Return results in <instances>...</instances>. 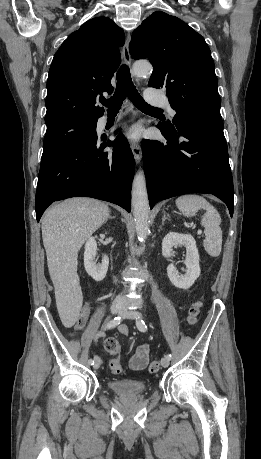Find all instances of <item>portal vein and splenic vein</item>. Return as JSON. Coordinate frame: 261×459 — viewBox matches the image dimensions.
<instances>
[{"mask_svg":"<svg viewBox=\"0 0 261 459\" xmlns=\"http://www.w3.org/2000/svg\"><path fill=\"white\" fill-rule=\"evenodd\" d=\"M197 233H198V234H202V231H201V230H198V232H197Z\"/></svg>","mask_w":261,"mask_h":459,"instance_id":"portal-vein-and-splenic-vein-1","label":"portal vein and splenic vein"}]
</instances>
